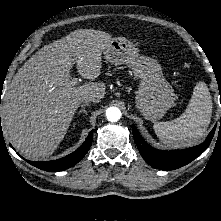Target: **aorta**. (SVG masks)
<instances>
[{
  "mask_svg": "<svg viewBox=\"0 0 221 221\" xmlns=\"http://www.w3.org/2000/svg\"><path fill=\"white\" fill-rule=\"evenodd\" d=\"M106 118L110 122H116L121 118V111L117 107H110L106 110Z\"/></svg>",
  "mask_w": 221,
  "mask_h": 221,
  "instance_id": "762f6f07",
  "label": "aorta"
}]
</instances>
